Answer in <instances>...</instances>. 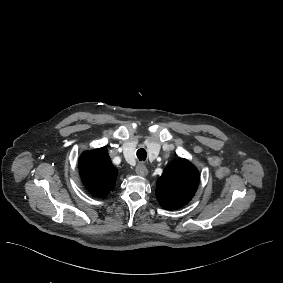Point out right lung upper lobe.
<instances>
[{"label": "right lung upper lobe", "mask_w": 283, "mask_h": 283, "mask_svg": "<svg viewBox=\"0 0 283 283\" xmlns=\"http://www.w3.org/2000/svg\"><path fill=\"white\" fill-rule=\"evenodd\" d=\"M79 169L83 184L94 196L103 197L114 188L118 171L105 147L84 152Z\"/></svg>", "instance_id": "cb5924a9"}]
</instances>
